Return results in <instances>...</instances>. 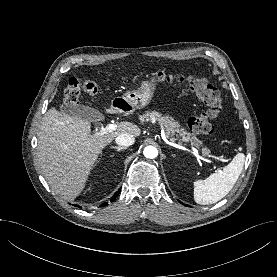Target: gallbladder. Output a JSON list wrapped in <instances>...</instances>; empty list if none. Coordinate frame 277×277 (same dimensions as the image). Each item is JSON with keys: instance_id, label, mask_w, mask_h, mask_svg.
I'll use <instances>...</instances> for the list:
<instances>
[{"instance_id": "bac80fb5", "label": "gallbladder", "mask_w": 277, "mask_h": 277, "mask_svg": "<svg viewBox=\"0 0 277 277\" xmlns=\"http://www.w3.org/2000/svg\"><path fill=\"white\" fill-rule=\"evenodd\" d=\"M60 110L68 116L83 120L98 121L102 118L98 110L89 106L74 104L71 102L61 104Z\"/></svg>"}]
</instances>
